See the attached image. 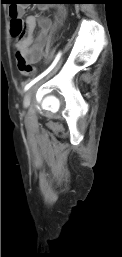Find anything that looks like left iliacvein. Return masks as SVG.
<instances>
[{
	"instance_id": "4c4485c4",
	"label": "left iliac vein",
	"mask_w": 122,
	"mask_h": 257,
	"mask_svg": "<svg viewBox=\"0 0 122 257\" xmlns=\"http://www.w3.org/2000/svg\"><path fill=\"white\" fill-rule=\"evenodd\" d=\"M61 64H62V61H60L54 68L53 70L45 77V79H48L50 78L51 76H53L58 70L59 68L61 67ZM37 86V85H36ZM32 87L31 89H29L26 94L24 95V98H23V106L24 108H27L29 105H30V101H31V94H32V91L35 89V87Z\"/></svg>"
}]
</instances>
